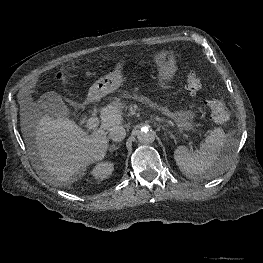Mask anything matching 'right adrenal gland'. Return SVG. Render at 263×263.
<instances>
[{"instance_id": "obj_1", "label": "right adrenal gland", "mask_w": 263, "mask_h": 263, "mask_svg": "<svg viewBox=\"0 0 263 263\" xmlns=\"http://www.w3.org/2000/svg\"><path fill=\"white\" fill-rule=\"evenodd\" d=\"M120 146H116L115 144H112L110 147H109V151L112 153L113 151H116L119 149Z\"/></svg>"}]
</instances>
